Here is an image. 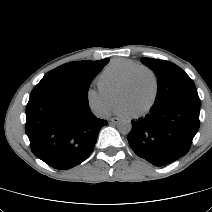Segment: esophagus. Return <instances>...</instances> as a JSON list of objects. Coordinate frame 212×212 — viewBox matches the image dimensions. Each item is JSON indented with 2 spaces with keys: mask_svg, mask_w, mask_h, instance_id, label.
Masks as SVG:
<instances>
[{
  "mask_svg": "<svg viewBox=\"0 0 212 212\" xmlns=\"http://www.w3.org/2000/svg\"><path fill=\"white\" fill-rule=\"evenodd\" d=\"M119 122H120V119L117 118V117H113V118H111V120H110V123H111V124H118Z\"/></svg>",
  "mask_w": 212,
  "mask_h": 212,
  "instance_id": "obj_1",
  "label": "esophagus"
}]
</instances>
